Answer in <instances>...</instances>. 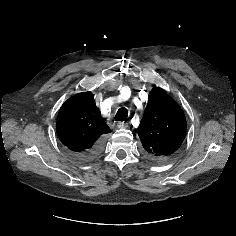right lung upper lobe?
I'll return each mask as SVG.
<instances>
[{
    "label": "right lung upper lobe",
    "mask_w": 236,
    "mask_h": 236,
    "mask_svg": "<svg viewBox=\"0 0 236 236\" xmlns=\"http://www.w3.org/2000/svg\"><path fill=\"white\" fill-rule=\"evenodd\" d=\"M56 130L60 141L75 153L92 148L104 134L111 132L91 92L76 94L61 106Z\"/></svg>",
    "instance_id": "cb5924a9"
}]
</instances>
